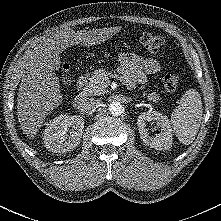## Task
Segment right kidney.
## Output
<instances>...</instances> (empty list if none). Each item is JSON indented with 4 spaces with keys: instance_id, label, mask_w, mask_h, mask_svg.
<instances>
[{
    "instance_id": "right-kidney-1",
    "label": "right kidney",
    "mask_w": 221,
    "mask_h": 221,
    "mask_svg": "<svg viewBox=\"0 0 221 221\" xmlns=\"http://www.w3.org/2000/svg\"><path fill=\"white\" fill-rule=\"evenodd\" d=\"M83 129L84 119L81 116L62 114L55 117L44 130L43 140L45 146L54 153L73 150L80 143ZM68 132L69 134H67Z\"/></svg>"
}]
</instances>
